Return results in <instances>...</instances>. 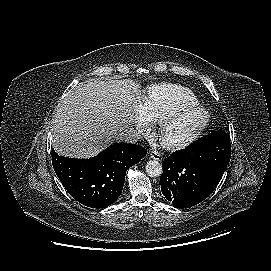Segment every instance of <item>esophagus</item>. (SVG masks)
Segmentation results:
<instances>
[{
	"mask_svg": "<svg viewBox=\"0 0 271 271\" xmlns=\"http://www.w3.org/2000/svg\"><path fill=\"white\" fill-rule=\"evenodd\" d=\"M150 158L157 160V161H162L163 160V156L161 153H159L158 151H151L150 152Z\"/></svg>",
	"mask_w": 271,
	"mask_h": 271,
	"instance_id": "1",
	"label": "esophagus"
}]
</instances>
